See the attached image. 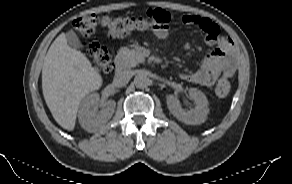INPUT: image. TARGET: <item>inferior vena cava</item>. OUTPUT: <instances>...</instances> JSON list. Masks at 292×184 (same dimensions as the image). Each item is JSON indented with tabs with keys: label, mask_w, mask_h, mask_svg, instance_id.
I'll list each match as a JSON object with an SVG mask.
<instances>
[{
	"label": "inferior vena cava",
	"mask_w": 292,
	"mask_h": 184,
	"mask_svg": "<svg viewBox=\"0 0 292 184\" xmlns=\"http://www.w3.org/2000/svg\"><path fill=\"white\" fill-rule=\"evenodd\" d=\"M131 72L128 70L118 71L114 76V84L118 87L125 86L131 79Z\"/></svg>",
	"instance_id": "inferior-vena-cava-1"
}]
</instances>
